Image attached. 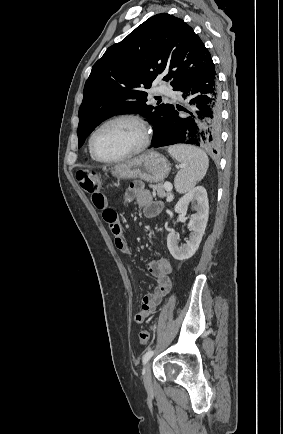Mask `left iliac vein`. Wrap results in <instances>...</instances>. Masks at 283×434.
<instances>
[{
    "label": "left iliac vein",
    "instance_id": "1",
    "mask_svg": "<svg viewBox=\"0 0 283 434\" xmlns=\"http://www.w3.org/2000/svg\"><path fill=\"white\" fill-rule=\"evenodd\" d=\"M143 382L146 390L151 392L153 390L152 384V374H151V363H147L144 372H143Z\"/></svg>",
    "mask_w": 283,
    "mask_h": 434
}]
</instances>
